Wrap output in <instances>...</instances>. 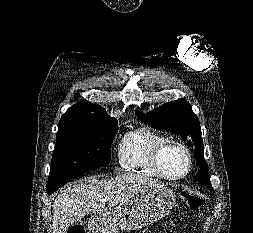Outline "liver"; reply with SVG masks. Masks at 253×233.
Listing matches in <instances>:
<instances>
[{"instance_id":"6515ba94","label":"liver","mask_w":253,"mask_h":233,"mask_svg":"<svg viewBox=\"0 0 253 233\" xmlns=\"http://www.w3.org/2000/svg\"><path fill=\"white\" fill-rule=\"evenodd\" d=\"M161 185L157 180L140 174H123L109 180L85 178L62 190L53 203V233H65L70 225L86 214H101L109 206L124 203L145 189Z\"/></svg>"}]
</instances>
